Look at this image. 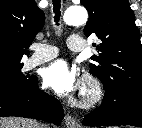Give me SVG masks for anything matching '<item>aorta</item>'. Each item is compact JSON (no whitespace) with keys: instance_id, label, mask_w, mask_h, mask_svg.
I'll use <instances>...</instances> for the list:
<instances>
[{"instance_id":"762f6f07","label":"aorta","mask_w":142,"mask_h":128,"mask_svg":"<svg viewBox=\"0 0 142 128\" xmlns=\"http://www.w3.org/2000/svg\"><path fill=\"white\" fill-rule=\"evenodd\" d=\"M88 13L85 8L76 6L68 8L63 16V20L68 25H82L86 23Z\"/></svg>"}]
</instances>
